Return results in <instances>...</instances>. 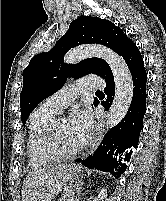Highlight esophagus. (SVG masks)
<instances>
[{"label": "esophagus", "instance_id": "obj_1", "mask_svg": "<svg viewBox=\"0 0 166 201\" xmlns=\"http://www.w3.org/2000/svg\"><path fill=\"white\" fill-rule=\"evenodd\" d=\"M102 138H103V129H102L101 124H99L97 127V130H96L94 139L92 141V144L84 157H87L88 155L92 154L97 149V147L99 146V144L102 141Z\"/></svg>", "mask_w": 166, "mask_h": 201}]
</instances>
